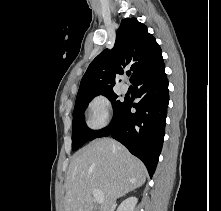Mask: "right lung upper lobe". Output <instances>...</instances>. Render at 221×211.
<instances>
[{
	"instance_id": "obj_1",
	"label": "right lung upper lobe",
	"mask_w": 221,
	"mask_h": 211,
	"mask_svg": "<svg viewBox=\"0 0 221 211\" xmlns=\"http://www.w3.org/2000/svg\"><path fill=\"white\" fill-rule=\"evenodd\" d=\"M160 46L136 18L125 19L117 30L112 50H103L82 77L78 97L113 91L115 77L130 66L133 82L138 76L163 65Z\"/></svg>"
}]
</instances>
